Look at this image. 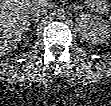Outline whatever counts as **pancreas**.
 Listing matches in <instances>:
<instances>
[{"instance_id": "pancreas-1", "label": "pancreas", "mask_w": 111, "mask_h": 106, "mask_svg": "<svg viewBox=\"0 0 111 106\" xmlns=\"http://www.w3.org/2000/svg\"><path fill=\"white\" fill-rule=\"evenodd\" d=\"M88 9L99 14H108L109 6L105 0H86L84 2Z\"/></svg>"}]
</instances>
